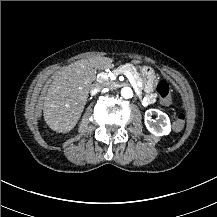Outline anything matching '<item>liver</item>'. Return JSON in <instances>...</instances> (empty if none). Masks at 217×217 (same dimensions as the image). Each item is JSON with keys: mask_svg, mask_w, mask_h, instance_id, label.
Returning a JSON list of instances; mask_svg holds the SVG:
<instances>
[{"mask_svg": "<svg viewBox=\"0 0 217 217\" xmlns=\"http://www.w3.org/2000/svg\"><path fill=\"white\" fill-rule=\"evenodd\" d=\"M109 57L78 60L62 68L48 88L43 115L46 125L56 133H70L81 118L92 82L93 69L108 70L114 67ZM131 65L142 64L132 60Z\"/></svg>", "mask_w": 217, "mask_h": 217, "instance_id": "liver-1", "label": "liver"}]
</instances>
